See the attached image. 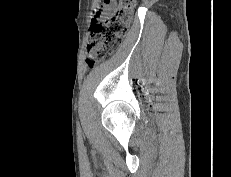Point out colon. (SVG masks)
<instances>
[{"instance_id":"colon-1","label":"colon","mask_w":231,"mask_h":177,"mask_svg":"<svg viewBox=\"0 0 231 177\" xmlns=\"http://www.w3.org/2000/svg\"><path fill=\"white\" fill-rule=\"evenodd\" d=\"M116 4V8L103 22H93L86 47V64L94 67L110 57L126 35L137 0H104Z\"/></svg>"}]
</instances>
